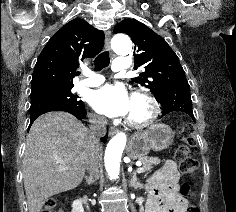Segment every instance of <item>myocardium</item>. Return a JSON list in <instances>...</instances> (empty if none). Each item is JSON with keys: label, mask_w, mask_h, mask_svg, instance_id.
<instances>
[{"label": "myocardium", "mask_w": 236, "mask_h": 212, "mask_svg": "<svg viewBox=\"0 0 236 212\" xmlns=\"http://www.w3.org/2000/svg\"><path fill=\"white\" fill-rule=\"evenodd\" d=\"M133 100H138L142 102L145 107V114L141 118H134L128 116L126 119V124L133 129H143L151 125L159 114V104L157 100L144 90H136L132 94Z\"/></svg>", "instance_id": "obj_1"}]
</instances>
